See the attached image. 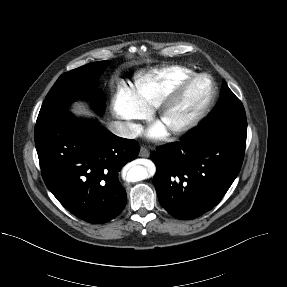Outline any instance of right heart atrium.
<instances>
[{
	"label": "right heart atrium",
	"mask_w": 287,
	"mask_h": 287,
	"mask_svg": "<svg viewBox=\"0 0 287 287\" xmlns=\"http://www.w3.org/2000/svg\"><path fill=\"white\" fill-rule=\"evenodd\" d=\"M111 110L113 115L124 122L127 136L134 135L138 130V121L147 116L139 105L133 91L127 85H120L112 98Z\"/></svg>",
	"instance_id": "obj_1"
}]
</instances>
